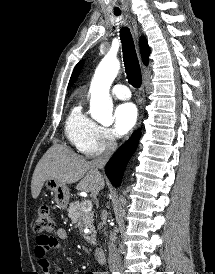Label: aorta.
Masks as SVG:
<instances>
[{
	"instance_id": "obj_1",
	"label": "aorta",
	"mask_w": 215,
	"mask_h": 274,
	"mask_svg": "<svg viewBox=\"0 0 215 274\" xmlns=\"http://www.w3.org/2000/svg\"><path fill=\"white\" fill-rule=\"evenodd\" d=\"M119 68L120 63L116 58L106 56L98 65L91 82L90 113L93 119L103 125H109L113 121V103L109 90Z\"/></svg>"
}]
</instances>
